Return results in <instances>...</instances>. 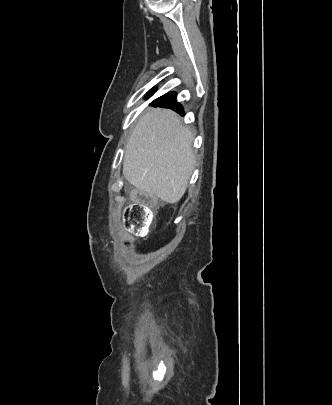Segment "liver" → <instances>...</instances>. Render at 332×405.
I'll return each mask as SVG.
<instances>
[{"label": "liver", "instance_id": "liver-1", "mask_svg": "<svg viewBox=\"0 0 332 405\" xmlns=\"http://www.w3.org/2000/svg\"><path fill=\"white\" fill-rule=\"evenodd\" d=\"M193 139L175 112L151 110L141 116L127 142L124 175L137 189L165 203H176L195 168Z\"/></svg>", "mask_w": 332, "mask_h": 405}]
</instances>
